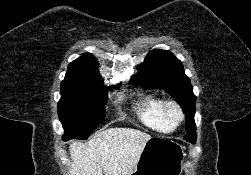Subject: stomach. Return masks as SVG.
Returning <instances> with one entry per match:
<instances>
[{
    "instance_id": "obj_1",
    "label": "stomach",
    "mask_w": 251,
    "mask_h": 175,
    "mask_svg": "<svg viewBox=\"0 0 251 175\" xmlns=\"http://www.w3.org/2000/svg\"><path fill=\"white\" fill-rule=\"evenodd\" d=\"M184 147L170 137L151 135L130 175H181Z\"/></svg>"
}]
</instances>
